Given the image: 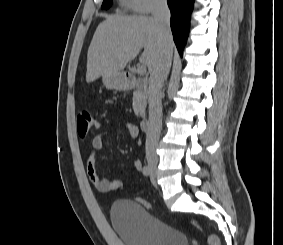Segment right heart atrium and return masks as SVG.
<instances>
[{
	"instance_id": "1",
	"label": "right heart atrium",
	"mask_w": 283,
	"mask_h": 245,
	"mask_svg": "<svg viewBox=\"0 0 283 245\" xmlns=\"http://www.w3.org/2000/svg\"><path fill=\"white\" fill-rule=\"evenodd\" d=\"M129 8L138 13H149L161 7L165 0H126Z\"/></svg>"
}]
</instances>
